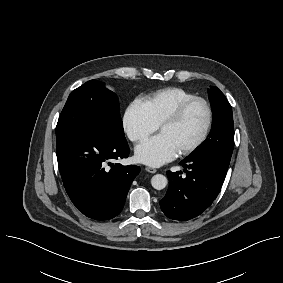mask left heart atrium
<instances>
[{
	"mask_svg": "<svg viewBox=\"0 0 283 283\" xmlns=\"http://www.w3.org/2000/svg\"><path fill=\"white\" fill-rule=\"evenodd\" d=\"M178 155L175 145L163 134L152 136L135 149L136 159L148 166L158 167Z\"/></svg>",
	"mask_w": 283,
	"mask_h": 283,
	"instance_id": "obj_1",
	"label": "left heart atrium"
}]
</instances>
